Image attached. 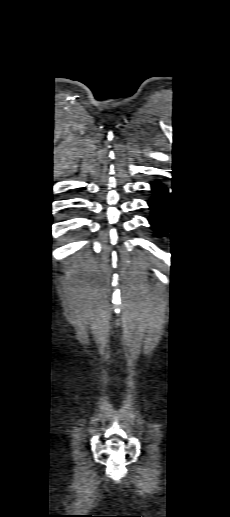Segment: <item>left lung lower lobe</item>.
<instances>
[{
	"label": "left lung lower lobe",
	"mask_w": 230,
	"mask_h": 517,
	"mask_svg": "<svg viewBox=\"0 0 230 517\" xmlns=\"http://www.w3.org/2000/svg\"><path fill=\"white\" fill-rule=\"evenodd\" d=\"M152 188L154 197L148 202L152 210L149 222L156 232L165 234L168 230L170 215L169 200L166 198L168 189L159 182L152 183Z\"/></svg>",
	"instance_id": "obj_1"
}]
</instances>
